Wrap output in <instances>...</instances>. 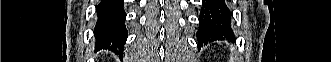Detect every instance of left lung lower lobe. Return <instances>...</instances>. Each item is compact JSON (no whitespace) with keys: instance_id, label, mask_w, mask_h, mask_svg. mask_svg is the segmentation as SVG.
<instances>
[{"instance_id":"1","label":"left lung lower lobe","mask_w":331,"mask_h":62,"mask_svg":"<svg viewBox=\"0 0 331 62\" xmlns=\"http://www.w3.org/2000/svg\"><path fill=\"white\" fill-rule=\"evenodd\" d=\"M231 14L225 0H202L199 16L198 46L208 42L224 40L234 36L231 28ZM233 40V38H232Z\"/></svg>"}]
</instances>
